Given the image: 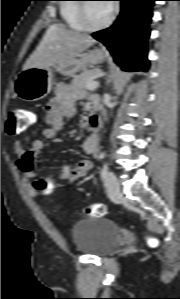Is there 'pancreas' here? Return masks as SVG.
<instances>
[{"mask_svg": "<svg viewBox=\"0 0 180 299\" xmlns=\"http://www.w3.org/2000/svg\"><path fill=\"white\" fill-rule=\"evenodd\" d=\"M101 73L102 71L100 69L86 70L80 75L74 77L72 80V85L77 89H85L86 86Z\"/></svg>", "mask_w": 180, "mask_h": 299, "instance_id": "obj_1", "label": "pancreas"}]
</instances>
